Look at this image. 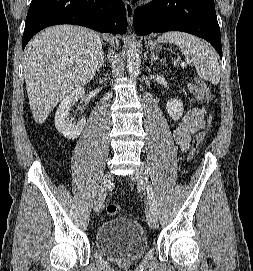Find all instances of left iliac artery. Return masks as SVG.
<instances>
[{
    "label": "left iliac artery",
    "mask_w": 253,
    "mask_h": 271,
    "mask_svg": "<svg viewBox=\"0 0 253 271\" xmlns=\"http://www.w3.org/2000/svg\"><path fill=\"white\" fill-rule=\"evenodd\" d=\"M147 198L153 208V210L157 213V205L154 198V191L150 185L147 186Z\"/></svg>",
    "instance_id": "44dca946"
}]
</instances>
